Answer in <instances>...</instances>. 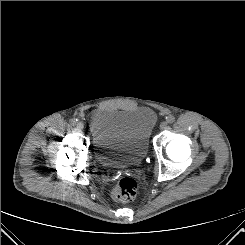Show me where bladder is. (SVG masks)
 <instances>
[{
  "mask_svg": "<svg viewBox=\"0 0 245 245\" xmlns=\"http://www.w3.org/2000/svg\"><path fill=\"white\" fill-rule=\"evenodd\" d=\"M156 121L155 111L147 106L92 110L87 127L97 160L114 169L138 164L148 152Z\"/></svg>",
  "mask_w": 245,
  "mask_h": 245,
  "instance_id": "bladder-1",
  "label": "bladder"
}]
</instances>
